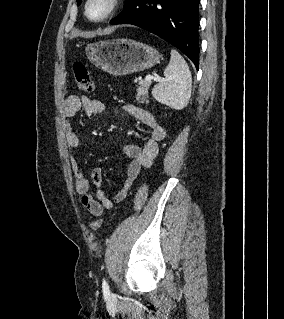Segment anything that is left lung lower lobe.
Here are the masks:
<instances>
[{"label": "left lung lower lobe", "mask_w": 284, "mask_h": 319, "mask_svg": "<svg viewBox=\"0 0 284 319\" xmlns=\"http://www.w3.org/2000/svg\"><path fill=\"white\" fill-rule=\"evenodd\" d=\"M199 0H131L110 24H132L166 40L199 67Z\"/></svg>", "instance_id": "0a47b994"}]
</instances>
